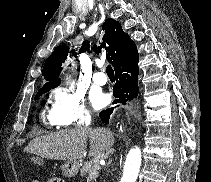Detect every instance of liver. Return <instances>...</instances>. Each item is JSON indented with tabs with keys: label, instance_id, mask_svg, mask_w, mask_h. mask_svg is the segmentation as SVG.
Instances as JSON below:
<instances>
[{
	"label": "liver",
	"instance_id": "obj_1",
	"mask_svg": "<svg viewBox=\"0 0 211 182\" xmlns=\"http://www.w3.org/2000/svg\"><path fill=\"white\" fill-rule=\"evenodd\" d=\"M88 139L89 156L102 154L114 144V136L108 129L78 128L37 137L25 151L47 159L76 161L86 154Z\"/></svg>",
	"mask_w": 211,
	"mask_h": 182
}]
</instances>
